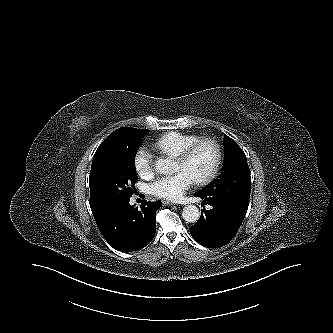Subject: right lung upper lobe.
Instances as JSON below:
<instances>
[{"label":"right lung upper lobe","instance_id":"1","mask_svg":"<svg viewBox=\"0 0 333 333\" xmlns=\"http://www.w3.org/2000/svg\"><path fill=\"white\" fill-rule=\"evenodd\" d=\"M140 129H135V128H130V127H123L115 130L112 132L104 141L103 143L99 146L97 151L95 152V155L104 147L110 145L111 143L119 140L120 138L131 134L132 132L138 131ZM94 155V156H95ZM104 205L101 204L98 199L96 198L93 190L90 187V207L92 210V213H95L99 209H101Z\"/></svg>","mask_w":333,"mask_h":333}]
</instances>
